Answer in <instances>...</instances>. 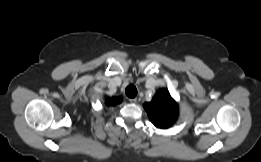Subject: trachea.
<instances>
[{"instance_id":"3493384b","label":"trachea","mask_w":261,"mask_h":162,"mask_svg":"<svg viewBox=\"0 0 261 162\" xmlns=\"http://www.w3.org/2000/svg\"><path fill=\"white\" fill-rule=\"evenodd\" d=\"M125 93L129 98H135L137 95V89L134 85H129L126 88Z\"/></svg>"}]
</instances>
